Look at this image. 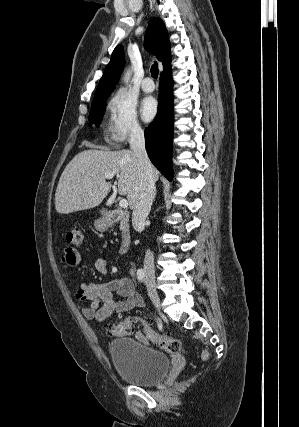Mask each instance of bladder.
<instances>
[{
	"instance_id": "obj_1",
	"label": "bladder",
	"mask_w": 299,
	"mask_h": 427,
	"mask_svg": "<svg viewBox=\"0 0 299 427\" xmlns=\"http://www.w3.org/2000/svg\"><path fill=\"white\" fill-rule=\"evenodd\" d=\"M110 356L117 374L137 386H153L168 374L170 360L160 351L135 339L121 338L110 343Z\"/></svg>"
}]
</instances>
